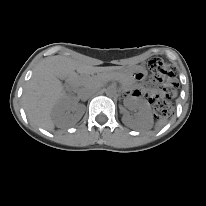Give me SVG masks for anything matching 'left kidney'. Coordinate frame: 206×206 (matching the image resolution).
I'll list each match as a JSON object with an SVG mask.
<instances>
[{
    "instance_id": "left-kidney-1",
    "label": "left kidney",
    "mask_w": 206,
    "mask_h": 206,
    "mask_svg": "<svg viewBox=\"0 0 206 206\" xmlns=\"http://www.w3.org/2000/svg\"><path fill=\"white\" fill-rule=\"evenodd\" d=\"M132 109H137V117L133 119L129 115H125L123 120L130 126L141 128H151L153 123V116L148 102L144 99H133L127 103Z\"/></svg>"
}]
</instances>
